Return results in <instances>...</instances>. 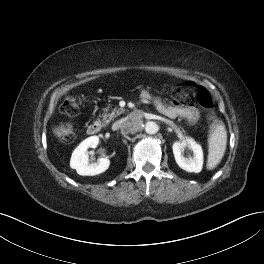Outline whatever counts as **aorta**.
<instances>
[{
    "label": "aorta",
    "mask_w": 264,
    "mask_h": 264,
    "mask_svg": "<svg viewBox=\"0 0 264 264\" xmlns=\"http://www.w3.org/2000/svg\"><path fill=\"white\" fill-rule=\"evenodd\" d=\"M145 131L147 134H155L158 132V125L153 121H149L145 125Z\"/></svg>",
    "instance_id": "1"
}]
</instances>
